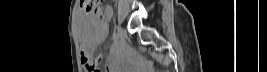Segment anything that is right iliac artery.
<instances>
[{"mask_svg":"<svg viewBox=\"0 0 267 72\" xmlns=\"http://www.w3.org/2000/svg\"><path fill=\"white\" fill-rule=\"evenodd\" d=\"M118 38H119L118 34H116V33L114 32V33H113V39H114L115 41H117Z\"/></svg>","mask_w":267,"mask_h":72,"instance_id":"obj_1","label":"right iliac artery"}]
</instances>
